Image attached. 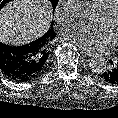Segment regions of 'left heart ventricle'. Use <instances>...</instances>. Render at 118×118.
<instances>
[{
	"label": "left heart ventricle",
	"instance_id": "1",
	"mask_svg": "<svg viewBox=\"0 0 118 118\" xmlns=\"http://www.w3.org/2000/svg\"><path fill=\"white\" fill-rule=\"evenodd\" d=\"M97 21L99 24H102L107 28L113 39V43L118 41V14H116L110 20H106L102 16H100Z\"/></svg>",
	"mask_w": 118,
	"mask_h": 118
}]
</instances>
